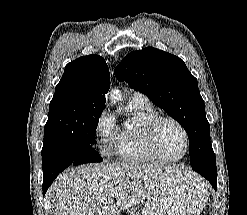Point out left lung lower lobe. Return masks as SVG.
<instances>
[{
  "label": "left lung lower lobe",
  "mask_w": 247,
  "mask_h": 215,
  "mask_svg": "<svg viewBox=\"0 0 247 215\" xmlns=\"http://www.w3.org/2000/svg\"><path fill=\"white\" fill-rule=\"evenodd\" d=\"M191 167L194 171L205 177L217 190V168L215 162V154L212 148H205L201 150V153L197 156L194 162L191 163Z\"/></svg>",
  "instance_id": "0a47b994"
}]
</instances>
